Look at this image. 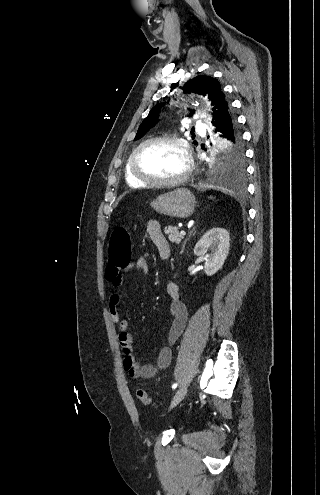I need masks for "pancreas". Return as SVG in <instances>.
Segmentation results:
<instances>
[{
	"label": "pancreas",
	"instance_id": "1",
	"mask_svg": "<svg viewBox=\"0 0 320 495\" xmlns=\"http://www.w3.org/2000/svg\"><path fill=\"white\" fill-rule=\"evenodd\" d=\"M164 232L168 235V238L172 243L179 244L183 238V235L179 233V228L177 226L169 225L165 227Z\"/></svg>",
	"mask_w": 320,
	"mask_h": 495
}]
</instances>
